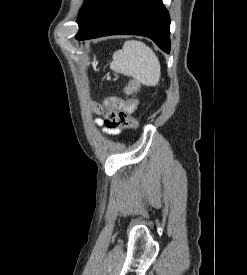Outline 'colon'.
I'll use <instances>...</instances> for the list:
<instances>
[{
	"mask_svg": "<svg viewBox=\"0 0 247 275\" xmlns=\"http://www.w3.org/2000/svg\"><path fill=\"white\" fill-rule=\"evenodd\" d=\"M140 90V82L131 78L124 87L125 99L108 96L104 101L106 109L105 124L109 128H129L136 129L138 127L137 120L132 116L138 105L136 95ZM94 110L101 112L103 107L94 104Z\"/></svg>",
	"mask_w": 247,
	"mask_h": 275,
	"instance_id": "obj_1",
	"label": "colon"
}]
</instances>
